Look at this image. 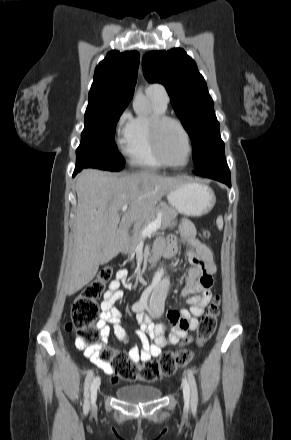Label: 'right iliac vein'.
<instances>
[{"label": "right iliac vein", "mask_w": 291, "mask_h": 440, "mask_svg": "<svg viewBox=\"0 0 291 440\" xmlns=\"http://www.w3.org/2000/svg\"><path fill=\"white\" fill-rule=\"evenodd\" d=\"M100 382H101V380H100V377H98V376L94 377L92 382H91V385H90V398H91V403L92 404H94L95 401H96L97 392H98V389L100 387Z\"/></svg>", "instance_id": "1"}]
</instances>
